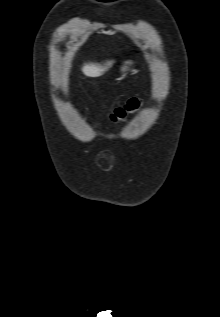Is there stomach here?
<instances>
[{"mask_svg": "<svg viewBox=\"0 0 220 317\" xmlns=\"http://www.w3.org/2000/svg\"><path fill=\"white\" fill-rule=\"evenodd\" d=\"M132 65H133L132 60H125L122 62L121 66H120V71L122 73H127L128 71L131 70Z\"/></svg>", "mask_w": 220, "mask_h": 317, "instance_id": "1", "label": "stomach"}]
</instances>
